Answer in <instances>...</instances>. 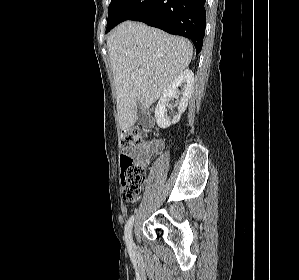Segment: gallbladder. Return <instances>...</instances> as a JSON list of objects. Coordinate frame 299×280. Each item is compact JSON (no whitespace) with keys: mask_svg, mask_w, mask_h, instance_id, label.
I'll return each instance as SVG.
<instances>
[{"mask_svg":"<svg viewBox=\"0 0 299 280\" xmlns=\"http://www.w3.org/2000/svg\"><path fill=\"white\" fill-rule=\"evenodd\" d=\"M137 119L141 121L143 119V112L139 102L136 104Z\"/></svg>","mask_w":299,"mask_h":280,"instance_id":"bac80fb5","label":"gallbladder"}]
</instances>
